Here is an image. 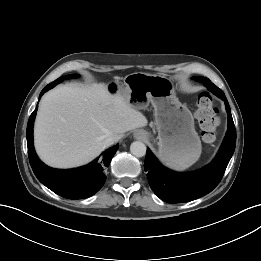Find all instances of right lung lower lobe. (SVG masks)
<instances>
[{
	"label": "right lung lower lobe",
	"instance_id": "98d812e1",
	"mask_svg": "<svg viewBox=\"0 0 261 261\" xmlns=\"http://www.w3.org/2000/svg\"><path fill=\"white\" fill-rule=\"evenodd\" d=\"M60 82L48 84L40 93L39 98ZM38 106L31 114L27 125V146L31 167L38 180L54 193L68 199L88 198L98 192L104 185L105 169L109 166L116 153V146L107 149L100 158L90 164L75 169H54L46 166L37 157L33 146V124Z\"/></svg>",
	"mask_w": 261,
	"mask_h": 261
}]
</instances>
